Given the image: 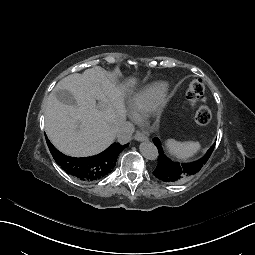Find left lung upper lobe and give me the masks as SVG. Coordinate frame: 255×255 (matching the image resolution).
Instances as JSON below:
<instances>
[{
	"label": "left lung upper lobe",
	"mask_w": 255,
	"mask_h": 255,
	"mask_svg": "<svg viewBox=\"0 0 255 255\" xmlns=\"http://www.w3.org/2000/svg\"><path fill=\"white\" fill-rule=\"evenodd\" d=\"M211 154H212V153H211ZM210 156H211V155H210ZM157 165H158V164H157ZM200 170H201V169H200ZM200 170H198L196 173H198ZM196 173H195V174H196ZM195 174H194V175H195ZM158 179H159V178H158ZM159 180H160V179H159ZM163 182H165V181H163Z\"/></svg>",
	"instance_id": "5c2ea615"
}]
</instances>
